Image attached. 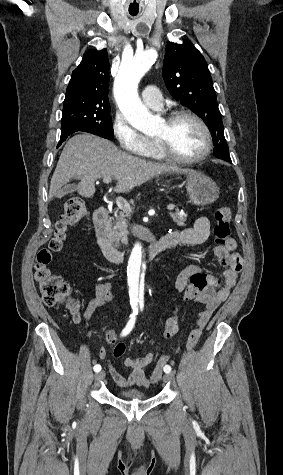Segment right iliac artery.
Listing matches in <instances>:
<instances>
[{
    "mask_svg": "<svg viewBox=\"0 0 283 475\" xmlns=\"http://www.w3.org/2000/svg\"><path fill=\"white\" fill-rule=\"evenodd\" d=\"M138 314V312H133L131 315H130V320L129 322L127 323L126 327L124 328V330L122 331V336H126L127 334L130 333V331L132 330V328L134 327V323H135V319H136V315ZM101 370V366L99 364L95 365L94 366V371L95 372H99Z\"/></svg>",
    "mask_w": 283,
    "mask_h": 475,
    "instance_id": "82829eb1",
    "label": "right iliac artery"
}]
</instances>
